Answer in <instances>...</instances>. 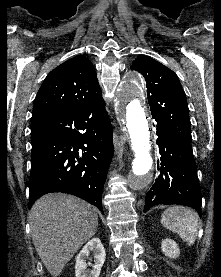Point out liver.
Returning a JSON list of instances; mask_svg holds the SVG:
<instances>
[{"label": "liver", "instance_id": "obj_1", "mask_svg": "<svg viewBox=\"0 0 221 277\" xmlns=\"http://www.w3.org/2000/svg\"><path fill=\"white\" fill-rule=\"evenodd\" d=\"M35 249L48 272L57 277L81 246L97 232V209L71 195L39 198L29 213Z\"/></svg>", "mask_w": 221, "mask_h": 277}]
</instances>
